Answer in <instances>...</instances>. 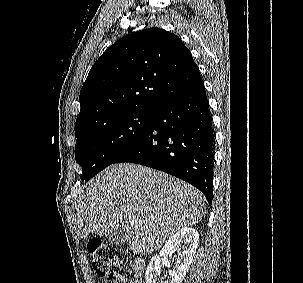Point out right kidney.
<instances>
[{"instance_id": "ca27d5eb", "label": "right kidney", "mask_w": 303, "mask_h": 283, "mask_svg": "<svg viewBox=\"0 0 303 283\" xmlns=\"http://www.w3.org/2000/svg\"><path fill=\"white\" fill-rule=\"evenodd\" d=\"M199 234L196 229L185 227L174 233L165 243L159 256L155 255L147 267L145 283H182L192 263L198 246ZM181 247L178 260L172 270H169V277L166 281H159L161 264L167 263L168 255H171L175 248Z\"/></svg>"}]
</instances>
